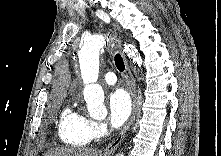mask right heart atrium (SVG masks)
Returning a JSON list of instances; mask_svg holds the SVG:
<instances>
[{"label": "right heart atrium", "instance_id": "right-heart-atrium-1", "mask_svg": "<svg viewBox=\"0 0 221 156\" xmlns=\"http://www.w3.org/2000/svg\"><path fill=\"white\" fill-rule=\"evenodd\" d=\"M107 126L104 122L87 119V132L91 140L100 139L105 135Z\"/></svg>", "mask_w": 221, "mask_h": 156}]
</instances>
